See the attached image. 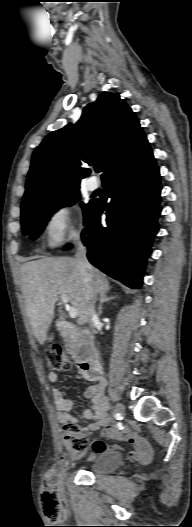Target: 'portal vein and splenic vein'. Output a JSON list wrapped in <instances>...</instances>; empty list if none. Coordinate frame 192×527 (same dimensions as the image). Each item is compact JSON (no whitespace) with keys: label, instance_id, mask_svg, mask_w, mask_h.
I'll return each instance as SVG.
<instances>
[{"label":"portal vein and splenic vein","instance_id":"obj_1","mask_svg":"<svg viewBox=\"0 0 192 527\" xmlns=\"http://www.w3.org/2000/svg\"><path fill=\"white\" fill-rule=\"evenodd\" d=\"M61 300L65 305L69 302L68 297L64 294L61 295ZM68 314L71 318H76L78 316V311L74 307H70L68 308Z\"/></svg>","mask_w":192,"mask_h":527}]
</instances>
